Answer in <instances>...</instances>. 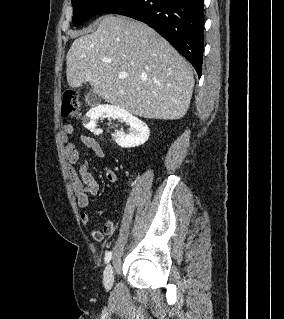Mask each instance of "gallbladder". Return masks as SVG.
Segmentation results:
<instances>
[{
	"label": "gallbladder",
	"instance_id": "bac80fb5",
	"mask_svg": "<svg viewBox=\"0 0 284 319\" xmlns=\"http://www.w3.org/2000/svg\"><path fill=\"white\" fill-rule=\"evenodd\" d=\"M102 100L103 98L101 96L97 95L96 93L92 91L89 92L86 97L87 104L91 106L99 105L102 102Z\"/></svg>",
	"mask_w": 284,
	"mask_h": 319
}]
</instances>
